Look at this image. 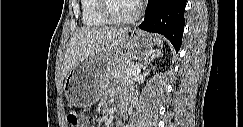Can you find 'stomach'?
<instances>
[{"label":"stomach","instance_id":"stomach-1","mask_svg":"<svg viewBox=\"0 0 243 127\" xmlns=\"http://www.w3.org/2000/svg\"><path fill=\"white\" fill-rule=\"evenodd\" d=\"M154 38L140 30H128L103 51L82 60L72 68L64 81L69 104L88 107L102 96L110 79L109 72L120 62L147 57L153 52Z\"/></svg>","mask_w":243,"mask_h":127}]
</instances>
